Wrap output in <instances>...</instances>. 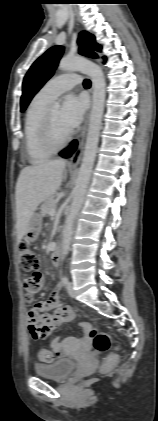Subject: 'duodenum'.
Here are the masks:
<instances>
[{"label": "duodenum", "mask_w": 158, "mask_h": 421, "mask_svg": "<svg viewBox=\"0 0 158 421\" xmlns=\"http://www.w3.org/2000/svg\"><path fill=\"white\" fill-rule=\"evenodd\" d=\"M61 261V249L57 247L52 254V264L58 266Z\"/></svg>", "instance_id": "obj_1"}]
</instances>
